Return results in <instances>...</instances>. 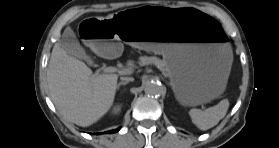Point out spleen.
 <instances>
[{"label": "spleen", "instance_id": "spleen-1", "mask_svg": "<svg viewBox=\"0 0 279 148\" xmlns=\"http://www.w3.org/2000/svg\"><path fill=\"white\" fill-rule=\"evenodd\" d=\"M229 101L224 99L219 104L208 108L205 111L200 109H191L189 115L192 122L201 130H208L216 126L227 113Z\"/></svg>", "mask_w": 279, "mask_h": 148}]
</instances>
